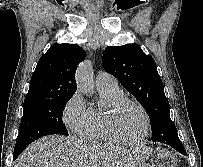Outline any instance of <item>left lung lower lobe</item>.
Segmentation results:
<instances>
[{"label":"left lung lower lobe","mask_w":203,"mask_h":167,"mask_svg":"<svg viewBox=\"0 0 203 167\" xmlns=\"http://www.w3.org/2000/svg\"><path fill=\"white\" fill-rule=\"evenodd\" d=\"M161 142L173 147L175 150L179 151L182 154H186V151L183 150V145L180 142L179 137L177 136L166 137L165 139H162Z\"/></svg>","instance_id":"obj_1"}]
</instances>
